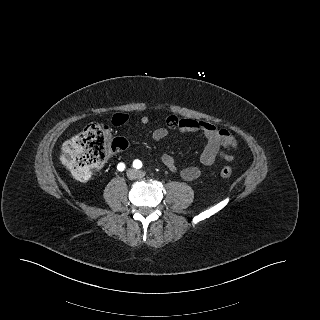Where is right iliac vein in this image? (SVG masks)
<instances>
[{
    "mask_svg": "<svg viewBox=\"0 0 320 320\" xmlns=\"http://www.w3.org/2000/svg\"><path fill=\"white\" fill-rule=\"evenodd\" d=\"M127 176L129 179H134V178H136L137 175L134 170H129V171H127Z\"/></svg>",
    "mask_w": 320,
    "mask_h": 320,
    "instance_id": "1",
    "label": "right iliac vein"
}]
</instances>
